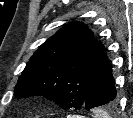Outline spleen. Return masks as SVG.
Masks as SVG:
<instances>
[{
  "instance_id": "obj_1",
  "label": "spleen",
  "mask_w": 133,
  "mask_h": 118,
  "mask_svg": "<svg viewBox=\"0 0 133 118\" xmlns=\"http://www.w3.org/2000/svg\"><path fill=\"white\" fill-rule=\"evenodd\" d=\"M99 116H101L102 118H108V115L105 113H102V114L100 113Z\"/></svg>"
}]
</instances>
